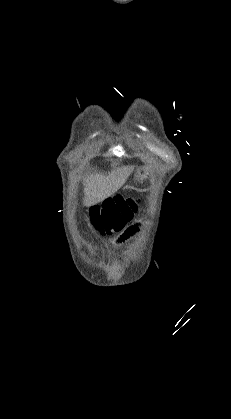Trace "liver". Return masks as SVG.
Segmentation results:
<instances>
[{"mask_svg": "<svg viewBox=\"0 0 231 419\" xmlns=\"http://www.w3.org/2000/svg\"><path fill=\"white\" fill-rule=\"evenodd\" d=\"M133 166H122L106 174H91L84 183L85 204L94 205L117 192L133 171Z\"/></svg>", "mask_w": 231, "mask_h": 419, "instance_id": "liver-1", "label": "liver"}]
</instances>
